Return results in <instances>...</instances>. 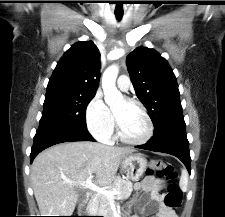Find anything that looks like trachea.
<instances>
[{
    "label": "trachea",
    "mask_w": 225,
    "mask_h": 217,
    "mask_svg": "<svg viewBox=\"0 0 225 217\" xmlns=\"http://www.w3.org/2000/svg\"><path fill=\"white\" fill-rule=\"evenodd\" d=\"M117 20H121L123 13H115Z\"/></svg>",
    "instance_id": "1"
}]
</instances>
